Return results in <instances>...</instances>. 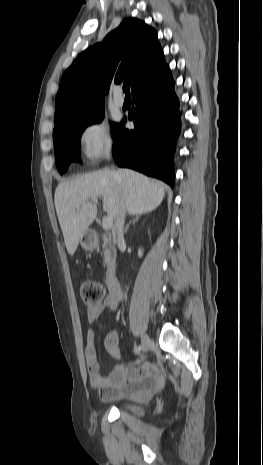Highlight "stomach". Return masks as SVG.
Returning a JSON list of instances; mask_svg holds the SVG:
<instances>
[{
    "mask_svg": "<svg viewBox=\"0 0 263 465\" xmlns=\"http://www.w3.org/2000/svg\"><path fill=\"white\" fill-rule=\"evenodd\" d=\"M80 244L85 250H93L97 246V238L94 233L86 231L80 239Z\"/></svg>",
    "mask_w": 263,
    "mask_h": 465,
    "instance_id": "1",
    "label": "stomach"
}]
</instances>
